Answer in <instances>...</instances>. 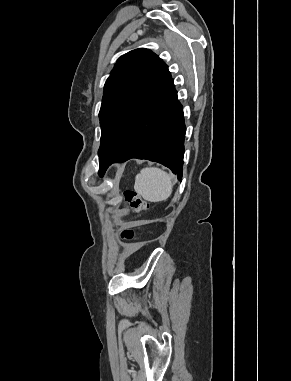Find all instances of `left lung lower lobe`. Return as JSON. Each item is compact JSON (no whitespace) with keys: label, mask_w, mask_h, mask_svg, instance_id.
Instances as JSON below:
<instances>
[{"label":"left lung lower lobe","mask_w":291,"mask_h":381,"mask_svg":"<svg viewBox=\"0 0 291 381\" xmlns=\"http://www.w3.org/2000/svg\"><path fill=\"white\" fill-rule=\"evenodd\" d=\"M186 127L173 80L145 105L131 127L100 163L99 175L115 162L148 159L167 166L182 178Z\"/></svg>","instance_id":"obj_1"}]
</instances>
